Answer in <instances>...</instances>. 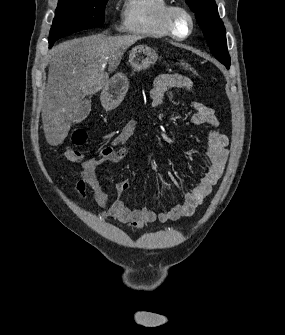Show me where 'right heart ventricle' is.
<instances>
[{
  "instance_id": "e07e8e85",
  "label": "right heart ventricle",
  "mask_w": 285,
  "mask_h": 335,
  "mask_svg": "<svg viewBox=\"0 0 285 335\" xmlns=\"http://www.w3.org/2000/svg\"><path fill=\"white\" fill-rule=\"evenodd\" d=\"M131 8L134 13L129 24L142 38L160 40L171 36L173 6L170 1H134Z\"/></svg>"
}]
</instances>
